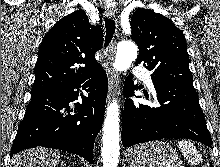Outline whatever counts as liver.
Segmentation results:
<instances>
[{
	"instance_id": "liver-1",
	"label": "liver",
	"mask_w": 220,
	"mask_h": 167,
	"mask_svg": "<svg viewBox=\"0 0 220 167\" xmlns=\"http://www.w3.org/2000/svg\"><path fill=\"white\" fill-rule=\"evenodd\" d=\"M59 155L56 150L42 147L28 149L13 157L11 167H56Z\"/></svg>"
}]
</instances>
